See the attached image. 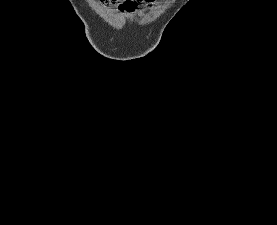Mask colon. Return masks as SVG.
<instances>
[{
  "label": "colon",
  "instance_id": "5ec220e1",
  "mask_svg": "<svg viewBox=\"0 0 277 225\" xmlns=\"http://www.w3.org/2000/svg\"><path fill=\"white\" fill-rule=\"evenodd\" d=\"M120 0H99L102 5H111L118 3ZM143 0H123L120 4L122 10L131 11L134 10L138 2Z\"/></svg>",
  "mask_w": 277,
  "mask_h": 225
}]
</instances>
